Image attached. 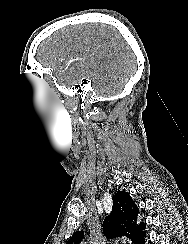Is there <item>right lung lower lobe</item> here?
<instances>
[{
    "instance_id": "98d812e1",
    "label": "right lung lower lobe",
    "mask_w": 188,
    "mask_h": 244,
    "mask_svg": "<svg viewBox=\"0 0 188 244\" xmlns=\"http://www.w3.org/2000/svg\"><path fill=\"white\" fill-rule=\"evenodd\" d=\"M144 236H145V232L134 244H144L145 243Z\"/></svg>"
}]
</instances>
